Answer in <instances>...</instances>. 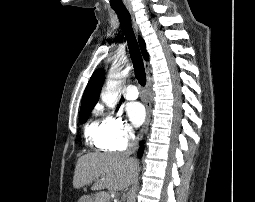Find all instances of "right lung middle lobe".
Segmentation results:
<instances>
[{"mask_svg":"<svg viewBox=\"0 0 255 202\" xmlns=\"http://www.w3.org/2000/svg\"><path fill=\"white\" fill-rule=\"evenodd\" d=\"M92 109L93 107L81 108L80 116H79L80 122H84L88 118Z\"/></svg>","mask_w":255,"mask_h":202,"instance_id":"dd1d6c3e","label":"right lung middle lobe"}]
</instances>
